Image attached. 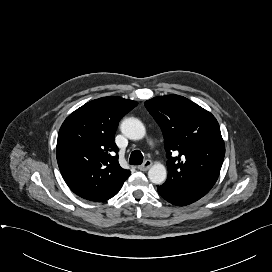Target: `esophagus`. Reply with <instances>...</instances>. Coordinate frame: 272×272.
Here are the masks:
<instances>
[{
  "label": "esophagus",
  "mask_w": 272,
  "mask_h": 272,
  "mask_svg": "<svg viewBox=\"0 0 272 272\" xmlns=\"http://www.w3.org/2000/svg\"><path fill=\"white\" fill-rule=\"evenodd\" d=\"M152 166L150 160H146L141 166H138V169L141 171H147Z\"/></svg>",
  "instance_id": "esophagus-1"
}]
</instances>
